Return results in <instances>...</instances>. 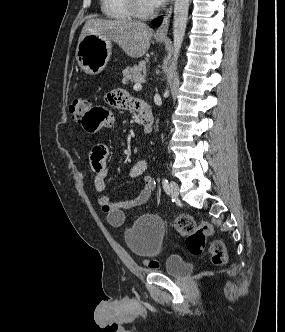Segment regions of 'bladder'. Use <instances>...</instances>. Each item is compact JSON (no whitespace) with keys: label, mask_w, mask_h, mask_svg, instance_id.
<instances>
[{"label":"bladder","mask_w":285,"mask_h":332,"mask_svg":"<svg viewBox=\"0 0 285 332\" xmlns=\"http://www.w3.org/2000/svg\"><path fill=\"white\" fill-rule=\"evenodd\" d=\"M166 227L163 220L153 214L138 217L124 233L128 249L138 257H150L157 254L163 244ZM191 269L186 259L179 255L167 258L166 273L174 277H182Z\"/></svg>","instance_id":"1"}]
</instances>
